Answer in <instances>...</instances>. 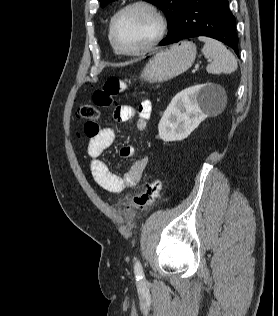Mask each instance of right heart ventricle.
Masks as SVG:
<instances>
[{"mask_svg": "<svg viewBox=\"0 0 278 316\" xmlns=\"http://www.w3.org/2000/svg\"><path fill=\"white\" fill-rule=\"evenodd\" d=\"M109 36V35H108ZM109 41H110V37H109ZM110 43H111V41H110ZM112 45V44H111ZM113 47V46H112ZM114 49V48H113ZM115 50V49H114Z\"/></svg>", "mask_w": 278, "mask_h": 316, "instance_id": "1", "label": "right heart ventricle"}]
</instances>
